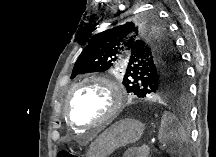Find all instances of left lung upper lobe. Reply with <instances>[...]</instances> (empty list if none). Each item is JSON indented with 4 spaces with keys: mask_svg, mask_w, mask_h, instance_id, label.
Listing matches in <instances>:
<instances>
[{
    "mask_svg": "<svg viewBox=\"0 0 216 157\" xmlns=\"http://www.w3.org/2000/svg\"><path fill=\"white\" fill-rule=\"evenodd\" d=\"M129 15L115 27L92 36L78 57L71 78L78 74L123 69V85L139 98L155 95L186 97L185 68L167 23L153 10Z\"/></svg>",
    "mask_w": 216,
    "mask_h": 157,
    "instance_id": "obj_1",
    "label": "left lung upper lobe"
}]
</instances>
